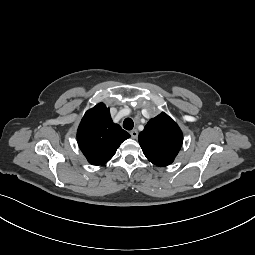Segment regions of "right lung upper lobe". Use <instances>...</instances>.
Here are the masks:
<instances>
[{"label": "right lung upper lobe", "mask_w": 255, "mask_h": 255, "mask_svg": "<svg viewBox=\"0 0 255 255\" xmlns=\"http://www.w3.org/2000/svg\"><path fill=\"white\" fill-rule=\"evenodd\" d=\"M129 137L128 132L113 123L109 108L103 103L85 113L77 131L78 145L92 165L107 163Z\"/></svg>", "instance_id": "obj_1"}]
</instances>
